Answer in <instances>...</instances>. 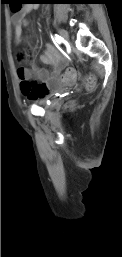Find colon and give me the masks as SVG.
Here are the masks:
<instances>
[{
    "label": "colon",
    "instance_id": "obj_1",
    "mask_svg": "<svg viewBox=\"0 0 122 257\" xmlns=\"http://www.w3.org/2000/svg\"><path fill=\"white\" fill-rule=\"evenodd\" d=\"M8 10H23V5H8ZM62 78L60 84L68 85V87H77L78 75L74 67H64L62 70ZM93 84L92 78L87 79V85L91 87Z\"/></svg>",
    "mask_w": 122,
    "mask_h": 257
}]
</instances>
